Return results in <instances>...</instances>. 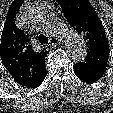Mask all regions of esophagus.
<instances>
[{"label":"esophagus","mask_w":113,"mask_h":113,"mask_svg":"<svg viewBox=\"0 0 113 113\" xmlns=\"http://www.w3.org/2000/svg\"><path fill=\"white\" fill-rule=\"evenodd\" d=\"M61 43V40L59 39V38H57V37H51L50 39H49V45L50 46H57V45H59Z\"/></svg>","instance_id":"34e87169"}]
</instances>
